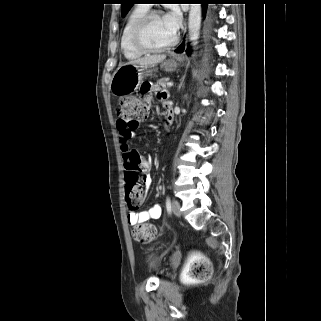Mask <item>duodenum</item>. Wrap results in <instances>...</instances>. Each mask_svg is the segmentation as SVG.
I'll use <instances>...</instances> for the list:
<instances>
[{
	"label": "duodenum",
	"instance_id": "duodenum-1",
	"mask_svg": "<svg viewBox=\"0 0 321 321\" xmlns=\"http://www.w3.org/2000/svg\"><path fill=\"white\" fill-rule=\"evenodd\" d=\"M167 122L169 125H171L173 122V112L172 111L167 112Z\"/></svg>",
	"mask_w": 321,
	"mask_h": 321
}]
</instances>
